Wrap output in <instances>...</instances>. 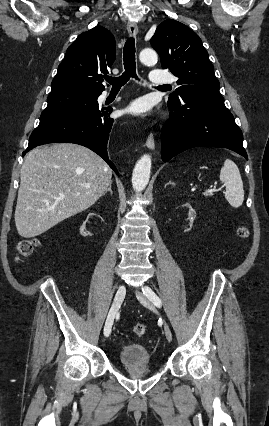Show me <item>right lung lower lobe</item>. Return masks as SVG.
<instances>
[{"instance_id":"right-lung-lower-lobe-1","label":"right lung lower lobe","mask_w":269,"mask_h":426,"mask_svg":"<svg viewBox=\"0 0 269 426\" xmlns=\"http://www.w3.org/2000/svg\"><path fill=\"white\" fill-rule=\"evenodd\" d=\"M111 111V108L95 106L76 114L39 123L30 136L28 148L23 152V156L39 145L75 143L93 150L118 173L107 153L109 133L114 123L109 117Z\"/></svg>"}]
</instances>
